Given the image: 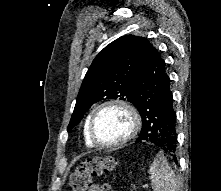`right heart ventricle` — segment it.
Wrapping results in <instances>:
<instances>
[{"label":"right heart ventricle","mask_w":221,"mask_h":191,"mask_svg":"<svg viewBox=\"0 0 221 191\" xmlns=\"http://www.w3.org/2000/svg\"><path fill=\"white\" fill-rule=\"evenodd\" d=\"M90 115L86 118L84 128H83V138L85 145L87 147H95V144L91 141L88 133V124H89Z\"/></svg>","instance_id":"1"}]
</instances>
